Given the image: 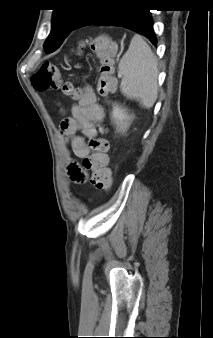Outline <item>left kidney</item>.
I'll use <instances>...</instances> for the list:
<instances>
[{
	"label": "left kidney",
	"mask_w": 213,
	"mask_h": 338,
	"mask_svg": "<svg viewBox=\"0 0 213 338\" xmlns=\"http://www.w3.org/2000/svg\"><path fill=\"white\" fill-rule=\"evenodd\" d=\"M131 118L132 116H129L126 113L125 109L119 107L118 104H114L112 111V119L114 120L117 127H120L121 129L128 128Z\"/></svg>",
	"instance_id": "5707ae66"
}]
</instances>
